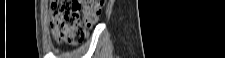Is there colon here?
<instances>
[{
    "label": "colon",
    "instance_id": "colon-1",
    "mask_svg": "<svg viewBox=\"0 0 225 58\" xmlns=\"http://www.w3.org/2000/svg\"><path fill=\"white\" fill-rule=\"evenodd\" d=\"M102 10L103 2L98 0H53L50 25L55 39L68 45L80 43Z\"/></svg>",
    "mask_w": 225,
    "mask_h": 58
}]
</instances>
